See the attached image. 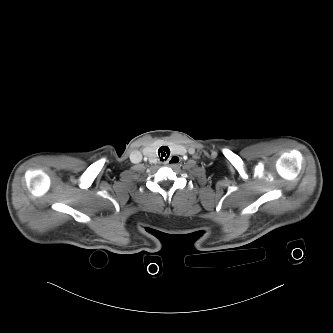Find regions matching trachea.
<instances>
[{
	"label": "trachea",
	"instance_id": "trachea-1",
	"mask_svg": "<svg viewBox=\"0 0 333 333\" xmlns=\"http://www.w3.org/2000/svg\"><path fill=\"white\" fill-rule=\"evenodd\" d=\"M161 161L166 160L170 155V149L167 146H161L158 150Z\"/></svg>",
	"mask_w": 333,
	"mask_h": 333
}]
</instances>
